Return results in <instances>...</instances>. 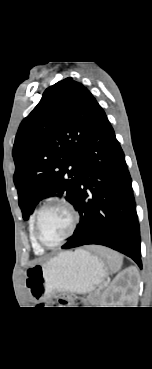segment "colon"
Returning a JSON list of instances; mask_svg holds the SVG:
<instances>
[{
    "instance_id": "obj_1",
    "label": "colon",
    "mask_w": 152,
    "mask_h": 369,
    "mask_svg": "<svg viewBox=\"0 0 152 369\" xmlns=\"http://www.w3.org/2000/svg\"><path fill=\"white\" fill-rule=\"evenodd\" d=\"M79 302H80L79 298L71 299L67 295H61V296H58L57 299L52 301L51 304L57 307H71L73 306V304H77Z\"/></svg>"
}]
</instances>
